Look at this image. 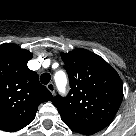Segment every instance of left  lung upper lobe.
Segmentation results:
<instances>
[{
	"mask_svg": "<svg viewBox=\"0 0 136 136\" xmlns=\"http://www.w3.org/2000/svg\"><path fill=\"white\" fill-rule=\"evenodd\" d=\"M61 58L71 90L67 97H54L52 103L63 122L75 131L109 125L123 98L117 72L103 58L85 49L62 53Z\"/></svg>",
	"mask_w": 136,
	"mask_h": 136,
	"instance_id": "left-lung-upper-lobe-1",
	"label": "left lung upper lobe"
}]
</instances>
